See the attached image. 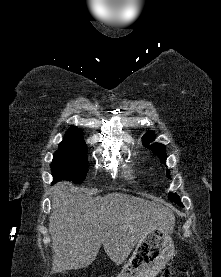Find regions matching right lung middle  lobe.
Instances as JSON below:
<instances>
[{"mask_svg":"<svg viewBox=\"0 0 221 277\" xmlns=\"http://www.w3.org/2000/svg\"><path fill=\"white\" fill-rule=\"evenodd\" d=\"M84 140H63L54 154L51 171L54 182L69 180L82 182L88 171V159Z\"/></svg>","mask_w":221,"mask_h":277,"instance_id":"1","label":"right lung middle lobe"}]
</instances>
